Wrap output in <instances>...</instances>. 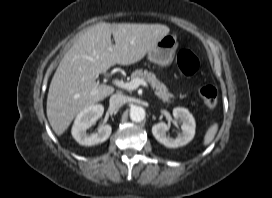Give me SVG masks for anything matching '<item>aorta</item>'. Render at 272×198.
I'll return each instance as SVG.
<instances>
[{"label":"aorta","mask_w":272,"mask_h":198,"mask_svg":"<svg viewBox=\"0 0 272 198\" xmlns=\"http://www.w3.org/2000/svg\"><path fill=\"white\" fill-rule=\"evenodd\" d=\"M145 110L140 106H134L130 109V118L133 122H141L145 119Z\"/></svg>","instance_id":"obj_1"}]
</instances>
